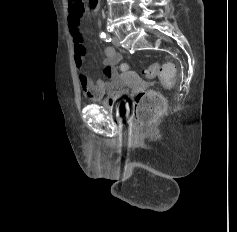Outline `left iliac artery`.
<instances>
[{
	"instance_id": "1",
	"label": "left iliac artery",
	"mask_w": 237,
	"mask_h": 232,
	"mask_svg": "<svg viewBox=\"0 0 237 232\" xmlns=\"http://www.w3.org/2000/svg\"><path fill=\"white\" fill-rule=\"evenodd\" d=\"M101 38H103L106 42H110L111 41V37L107 34H105L104 32L101 33Z\"/></svg>"
}]
</instances>
